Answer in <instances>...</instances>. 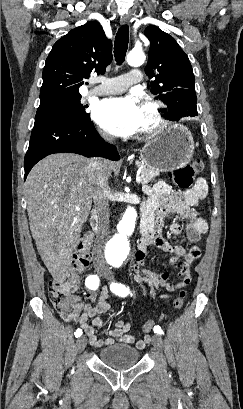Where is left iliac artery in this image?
<instances>
[{"label":"left iliac artery","instance_id":"44dca946","mask_svg":"<svg viewBox=\"0 0 243 409\" xmlns=\"http://www.w3.org/2000/svg\"><path fill=\"white\" fill-rule=\"evenodd\" d=\"M110 289L113 293L118 294L122 297H125L129 294V288L121 283H112L110 285ZM154 332L159 335H162L164 333L160 326H155Z\"/></svg>","mask_w":243,"mask_h":409}]
</instances>
